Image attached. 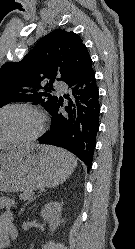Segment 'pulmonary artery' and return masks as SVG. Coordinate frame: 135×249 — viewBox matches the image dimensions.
<instances>
[{
    "label": "pulmonary artery",
    "instance_id": "e3ab8cb5",
    "mask_svg": "<svg viewBox=\"0 0 135 249\" xmlns=\"http://www.w3.org/2000/svg\"><path fill=\"white\" fill-rule=\"evenodd\" d=\"M55 87H56L58 90H62V89L65 88V84L62 83V82H57V83L55 84Z\"/></svg>",
    "mask_w": 135,
    "mask_h": 249
}]
</instances>
